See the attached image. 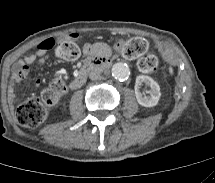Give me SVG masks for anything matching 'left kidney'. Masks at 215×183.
Here are the masks:
<instances>
[{
	"label": "left kidney",
	"instance_id": "1",
	"mask_svg": "<svg viewBox=\"0 0 215 183\" xmlns=\"http://www.w3.org/2000/svg\"><path fill=\"white\" fill-rule=\"evenodd\" d=\"M142 83H145L146 85L150 86L151 90H150L149 96H145L139 91V88L142 85ZM135 96H136L137 102L141 106H144V107L156 106L161 96L160 87L158 83L154 81L151 77L146 75H139L136 78V83H135Z\"/></svg>",
	"mask_w": 215,
	"mask_h": 183
}]
</instances>
